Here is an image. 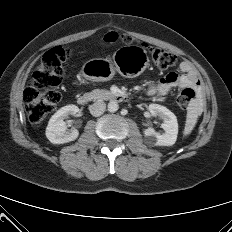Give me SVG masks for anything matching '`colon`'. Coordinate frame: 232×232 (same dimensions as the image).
<instances>
[{
  "label": "colon",
  "mask_w": 232,
  "mask_h": 232,
  "mask_svg": "<svg viewBox=\"0 0 232 232\" xmlns=\"http://www.w3.org/2000/svg\"><path fill=\"white\" fill-rule=\"evenodd\" d=\"M119 39L124 44L134 42L130 35L119 36L115 32L108 33L105 37V40L109 43H114ZM145 46L158 68L166 69L177 64L178 57L173 52L155 46ZM68 56L67 48L54 47L45 54L34 71L23 95L24 105L31 124H40L54 110L59 100L58 88L64 76V64ZM193 98L194 91L191 88H185L178 94L176 101L179 107L185 109L190 105Z\"/></svg>",
  "instance_id": "colon-1"
}]
</instances>
